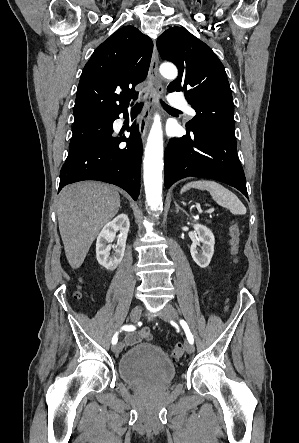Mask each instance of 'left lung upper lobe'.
I'll list each match as a JSON object with an SVG mask.
<instances>
[{
  "label": "left lung upper lobe",
  "instance_id": "1",
  "mask_svg": "<svg viewBox=\"0 0 299 443\" xmlns=\"http://www.w3.org/2000/svg\"><path fill=\"white\" fill-rule=\"evenodd\" d=\"M164 60L175 63L178 77L168 92L183 91L196 111L187 131L212 128L235 137L234 103L225 68L208 45L183 28L166 30L157 40Z\"/></svg>",
  "mask_w": 299,
  "mask_h": 443
}]
</instances>
